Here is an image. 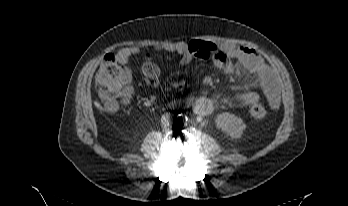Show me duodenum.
Listing matches in <instances>:
<instances>
[{"label":"duodenum","mask_w":348,"mask_h":206,"mask_svg":"<svg viewBox=\"0 0 348 206\" xmlns=\"http://www.w3.org/2000/svg\"><path fill=\"white\" fill-rule=\"evenodd\" d=\"M186 104L188 106H192L196 109L199 113H207L210 110V105L206 100H203L201 98H191L186 101Z\"/></svg>","instance_id":"1"}]
</instances>
